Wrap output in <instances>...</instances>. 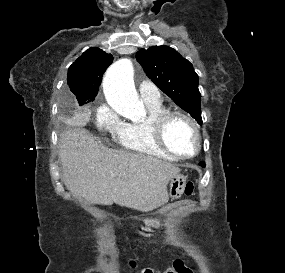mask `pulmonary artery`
I'll return each mask as SVG.
<instances>
[{
  "label": "pulmonary artery",
  "instance_id": "pulmonary-artery-1",
  "mask_svg": "<svg viewBox=\"0 0 285 273\" xmlns=\"http://www.w3.org/2000/svg\"><path fill=\"white\" fill-rule=\"evenodd\" d=\"M139 92L144 102L161 101L159 89L149 80H143L139 83Z\"/></svg>",
  "mask_w": 285,
  "mask_h": 273
}]
</instances>
